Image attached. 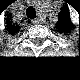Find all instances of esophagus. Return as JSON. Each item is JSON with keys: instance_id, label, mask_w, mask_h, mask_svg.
Masks as SVG:
<instances>
[{"instance_id": "obj_1", "label": "esophagus", "mask_w": 80, "mask_h": 80, "mask_svg": "<svg viewBox=\"0 0 80 80\" xmlns=\"http://www.w3.org/2000/svg\"><path fill=\"white\" fill-rule=\"evenodd\" d=\"M32 22H33L34 24H38V23H39V20H38V18H36V19H33Z\"/></svg>"}]
</instances>
